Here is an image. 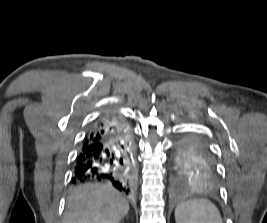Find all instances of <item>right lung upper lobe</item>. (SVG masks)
Listing matches in <instances>:
<instances>
[{
  "label": "right lung upper lobe",
  "mask_w": 267,
  "mask_h": 223,
  "mask_svg": "<svg viewBox=\"0 0 267 223\" xmlns=\"http://www.w3.org/2000/svg\"><path fill=\"white\" fill-rule=\"evenodd\" d=\"M128 124L119 116H105L98 120L84 139V145L99 142L106 137L117 135L120 129H126Z\"/></svg>",
  "instance_id": "cb5924a9"
}]
</instances>
